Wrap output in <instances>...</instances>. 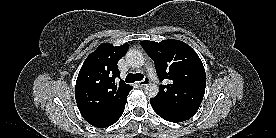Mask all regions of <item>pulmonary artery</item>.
Here are the masks:
<instances>
[{"label":"pulmonary artery","mask_w":276,"mask_h":138,"mask_svg":"<svg viewBox=\"0 0 276 138\" xmlns=\"http://www.w3.org/2000/svg\"><path fill=\"white\" fill-rule=\"evenodd\" d=\"M150 78L153 79V80H156V78L154 77V75L151 73V70H150Z\"/></svg>","instance_id":"obj_1"}]
</instances>
